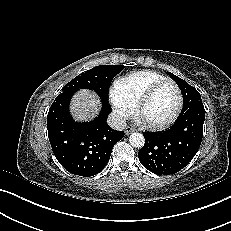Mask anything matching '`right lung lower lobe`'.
I'll list each match as a JSON object with an SVG mask.
<instances>
[{
	"mask_svg": "<svg viewBox=\"0 0 231 231\" xmlns=\"http://www.w3.org/2000/svg\"><path fill=\"white\" fill-rule=\"evenodd\" d=\"M75 91L66 90L52 103L47 117L49 141L59 163L70 173L90 177L107 165L114 145L124 131L107 124L111 112L103 102L99 116L91 122H75L69 114V101Z\"/></svg>",
	"mask_w": 231,
	"mask_h": 231,
	"instance_id": "1",
	"label": "right lung lower lobe"
}]
</instances>
